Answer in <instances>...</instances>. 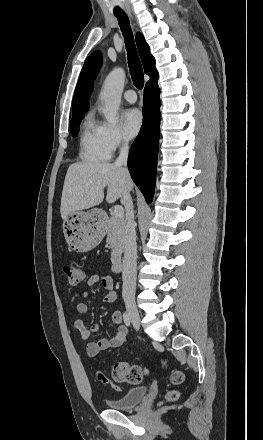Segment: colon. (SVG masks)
<instances>
[{
	"label": "colon",
	"mask_w": 263,
	"mask_h": 440,
	"mask_svg": "<svg viewBox=\"0 0 263 440\" xmlns=\"http://www.w3.org/2000/svg\"><path fill=\"white\" fill-rule=\"evenodd\" d=\"M64 273L71 286H79L86 278V271L75 264H67L63 268ZM148 370L138 364H133L126 361H117L112 364L111 374L116 382H125L129 384H138L142 382L148 375ZM170 381L172 383H180L183 379L179 371H173L170 374ZM97 379L104 385L116 388L115 384L104 374L99 373ZM179 393L175 390L169 391L166 395L168 401L176 400Z\"/></svg>",
	"instance_id": "obj_1"
}]
</instances>
